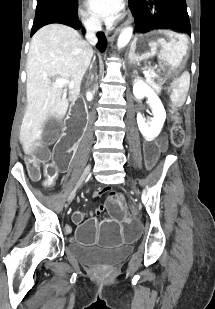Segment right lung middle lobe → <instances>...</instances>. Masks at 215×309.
<instances>
[{
	"mask_svg": "<svg viewBox=\"0 0 215 309\" xmlns=\"http://www.w3.org/2000/svg\"><path fill=\"white\" fill-rule=\"evenodd\" d=\"M77 8V0H37L32 31H36L39 22L47 18L56 16H64L67 18L76 17Z\"/></svg>",
	"mask_w": 215,
	"mask_h": 309,
	"instance_id": "dd1d6c3e",
	"label": "right lung middle lobe"
}]
</instances>
